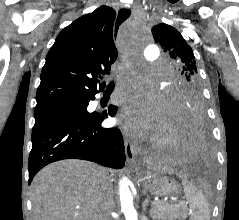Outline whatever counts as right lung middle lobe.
<instances>
[{
	"label": "right lung middle lobe",
	"mask_w": 239,
	"mask_h": 220,
	"mask_svg": "<svg viewBox=\"0 0 239 220\" xmlns=\"http://www.w3.org/2000/svg\"><path fill=\"white\" fill-rule=\"evenodd\" d=\"M93 115L88 113L87 107H84L81 103L54 104L35 109V119L38 117L59 116L82 120L91 118Z\"/></svg>",
	"instance_id": "right-lung-middle-lobe-1"
}]
</instances>
